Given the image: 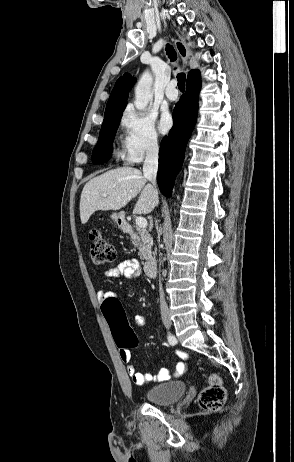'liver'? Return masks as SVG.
<instances>
[{"label":"liver","instance_id":"liver-1","mask_svg":"<svg viewBox=\"0 0 294 462\" xmlns=\"http://www.w3.org/2000/svg\"><path fill=\"white\" fill-rule=\"evenodd\" d=\"M138 169L123 167L94 177L84 186L80 199L81 223L98 210H119L139 194L135 214H149L158 204L151 184ZM106 195V196H104Z\"/></svg>","mask_w":294,"mask_h":462}]
</instances>
